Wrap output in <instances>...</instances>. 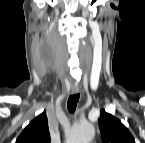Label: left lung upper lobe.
<instances>
[{
	"instance_id": "obj_1",
	"label": "left lung upper lobe",
	"mask_w": 145,
	"mask_h": 143,
	"mask_svg": "<svg viewBox=\"0 0 145 143\" xmlns=\"http://www.w3.org/2000/svg\"><path fill=\"white\" fill-rule=\"evenodd\" d=\"M99 128L102 143H135L133 136L121 121L104 110L100 112Z\"/></svg>"
}]
</instances>
